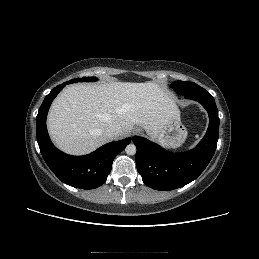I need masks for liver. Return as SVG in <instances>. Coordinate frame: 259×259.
<instances>
[{"instance_id":"liver-1","label":"liver","mask_w":259,"mask_h":259,"mask_svg":"<svg viewBox=\"0 0 259 259\" xmlns=\"http://www.w3.org/2000/svg\"><path fill=\"white\" fill-rule=\"evenodd\" d=\"M179 113L172 94L156 83L73 84L54 100L48 131L62 151L83 155L110 141L105 130L119 125L127 137L134 125L155 138Z\"/></svg>"}]
</instances>
